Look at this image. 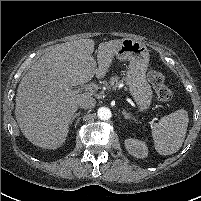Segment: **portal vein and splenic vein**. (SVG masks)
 Masks as SVG:
<instances>
[{"instance_id":"obj_1","label":"portal vein and splenic vein","mask_w":201,"mask_h":201,"mask_svg":"<svg viewBox=\"0 0 201 201\" xmlns=\"http://www.w3.org/2000/svg\"><path fill=\"white\" fill-rule=\"evenodd\" d=\"M97 85L96 84H88V85H85L84 87H83V89L84 90H86V91H90V92H93V91H95V90H97ZM68 91H71V89H68ZM80 91V89H78V90H76L75 92H79Z\"/></svg>"}]
</instances>
